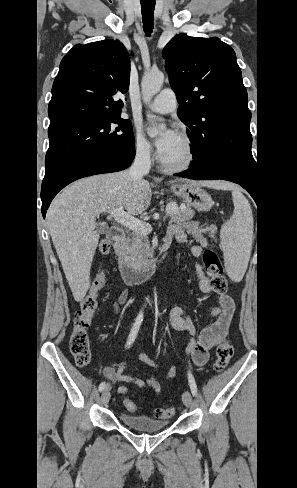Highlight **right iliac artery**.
I'll use <instances>...</instances> for the list:
<instances>
[{"instance_id":"82829eb1","label":"right iliac artery","mask_w":297,"mask_h":488,"mask_svg":"<svg viewBox=\"0 0 297 488\" xmlns=\"http://www.w3.org/2000/svg\"><path fill=\"white\" fill-rule=\"evenodd\" d=\"M142 321H143V312L140 311V313L138 314V316H137V318H136V320H135V322H134V324L132 326V329L130 331V334L128 336L127 343H126V348H129L133 344V342H134V340H135V338L137 336V333H138V331L140 329V325H141V322ZM105 387H106L105 382H102L99 385V391L100 392L103 391L105 389Z\"/></svg>"}]
</instances>
